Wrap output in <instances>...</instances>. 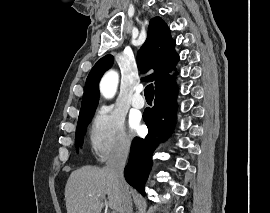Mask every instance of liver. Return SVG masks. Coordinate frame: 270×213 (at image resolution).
I'll return each mask as SVG.
<instances>
[{"label": "liver", "instance_id": "6515ba94", "mask_svg": "<svg viewBox=\"0 0 270 213\" xmlns=\"http://www.w3.org/2000/svg\"><path fill=\"white\" fill-rule=\"evenodd\" d=\"M106 195L108 206L120 213V189L106 167L77 169L70 174L65 186L67 213H101Z\"/></svg>", "mask_w": 270, "mask_h": 213}]
</instances>
